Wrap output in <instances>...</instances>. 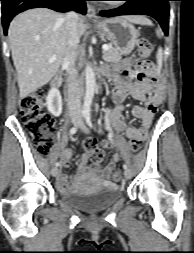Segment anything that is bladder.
<instances>
[{
  "mask_svg": "<svg viewBox=\"0 0 194 253\" xmlns=\"http://www.w3.org/2000/svg\"><path fill=\"white\" fill-rule=\"evenodd\" d=\"M122 197L116 185H103L93 190H72L61 195V199L77 209L96 212L115 204Z\"/></svg>",
  "mask_w": 194,
  "mask_h": 253,
  "instance_id": "1",
  "label": "bladder"
}]
</instances>
